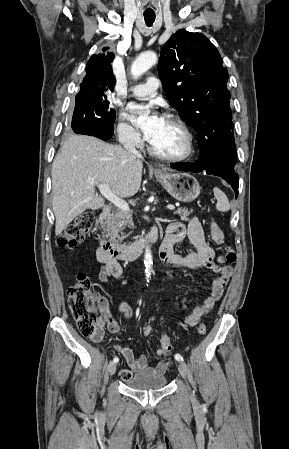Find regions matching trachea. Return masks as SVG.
Here are the masks:
<instances>
[{
	"label": "trachea",
	"mask_w": 289,
	"mask_h": 449,
	"mask_svg": "<svg viewBox=\"0 0 289 449\" xmlns=\"http://www.w3.org/2000/svg\"><path fill=\"white\" fill-rule=\"evenodd\" d=\"M144 20L148 27L152 26L155 21V13H144Z\"/></svg>",
	"instance_id": "1"
}]
</instances>
